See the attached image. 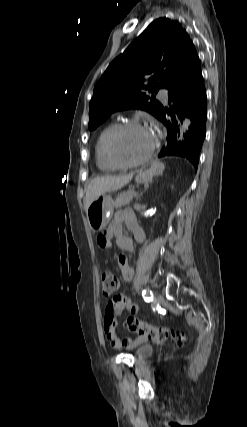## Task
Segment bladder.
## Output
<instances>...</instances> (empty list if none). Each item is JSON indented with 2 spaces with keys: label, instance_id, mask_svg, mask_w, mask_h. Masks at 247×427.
I'll return each instance as SVG.
<instances>
[{
  "label": "bladder",
  "instance_id": "1",
  "mask_svg": "<svg viewBox=\"0 0 247 427\" xmlns=\"http://www.w3.org/2000/svg\"><path fill=\"white\" fill-rule=\"evenodd\" d=\"M153 351L154 349L151 345L144 344L139 346L135 353L138 358H147L152 355Z\"/></svg>",
  "mask_w": 247,
  "mask_h": 427
}]
</instances>
